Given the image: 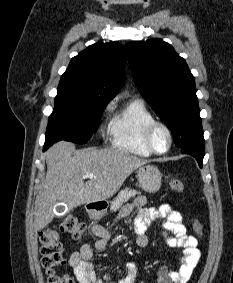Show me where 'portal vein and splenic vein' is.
I'll return each mask as SVG.
<instances>
[{
	"label": "portal vein and splenic vein",
	"instance_id": "portal-vein-and-splenic-vein-1",
	"mask_svg": "<svg viewBox=\"0 0 233 283\" xmlns=\"http://www.w3.org/2000/svg\"><path fill=\"white\" fill-rule=\"evenodd\" d=\"M84 178L93 179V178H95V175L93 173H87V174L84 175Z\"/></svg>",
	"mask_w": 233,
	"mask_h": 283
}]
</instances>
